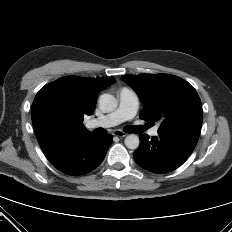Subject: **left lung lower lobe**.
I'll list each match as a JSON object with an SVG mask.
<instances>
[{
    "instance_id": "obj_1",
    "label": "left lung lower lobe",
    "mask_w": 232,
    "mask_h": 232,
    "mask_svg": "<svg viewBox=\"0 0 232 232\" xmlns=\"http://www.w3.org/2000/svg\"><path fill=\"white\" fill-rule=\"evenodd\" d=\"M158 136L149 139L140 135V146L134 152L135 161L144 169L162 174L181 166L194 150L200 131L174 129L158 131Z\"/></svg>"
}]
</instances>
